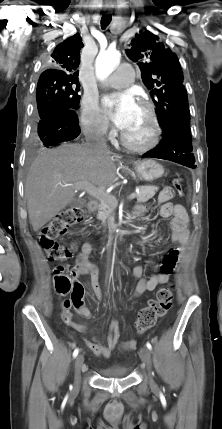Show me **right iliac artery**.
I'll list each match as a JSON object with an SVG mask.
<instances>
[{"label": "right iliac artery", "mask_w": 222, "mask_h": 429, "mask_svg": "<svg viewBox=\"0 0 222 429\" xmlns=\"http://www.w3.org/2000/svg\"><path fill=\"white\" fill-rule=\"evenodd\" d=\"M79 349L76 348L73 352V357L75 358L78 355Z\"/></svg>", "instance_id": "1"}]
</instances>
